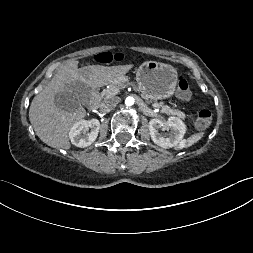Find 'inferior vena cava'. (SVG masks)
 Masks as SVG:
<instances>
[{"label": "inferior vena cava", "instance_id": "1", "mask_svg": "<svg viewBox=\"0 0 253 253\" xmlns=\"http://www.w3.org/2000/svg\"><path fill=\"white\" fill-rule=\"evenodd\" d=\"M119 101H120L119 98L106 99L101 103L100 108L103 111H108L114 108L119 103Z\"/></svg>", "mask_w": 253, "mask_h": 253}]
</instances>
